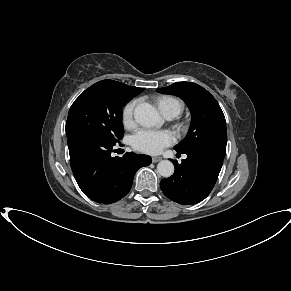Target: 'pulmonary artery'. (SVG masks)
<instances>
[{
	"label": "pulmonary artery",
	"instance_id": "obj_1",
	"mask_svg": "<svg viewBox=\"0 0 291 291\" xmlns=\"http://www.w3.org/2000/svg\"><path fill=\"white\" fill-rule=\"evenodd\" d=\"M166 117H167L168 119H171V118H173V116H172V115H166Z\"/></svg>",
	"mask_w": 291,
	"mask_h": 291
}]
</instances>
